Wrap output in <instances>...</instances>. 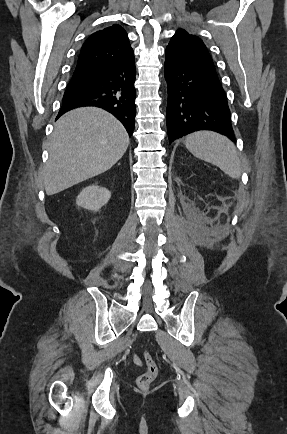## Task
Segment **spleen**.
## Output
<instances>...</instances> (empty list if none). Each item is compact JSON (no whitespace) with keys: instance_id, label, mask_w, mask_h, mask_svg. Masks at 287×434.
<instances>
[{"instance_id":"obj_1","label":"spleen","mask_w":287,"mask_h":434,"mask_svg":"<svg viewBox=\"0 0 287 434\" xmlns=\"http://www.w3.org/2000/svg\"><path fill=\"white\" fill-rule=\"evenodd\" d=\"M185 146L194 156L219 167L231 178L241 176L236 147L227 137L212 131H198L188 135Z\"/></svg>"}]
</instances>
